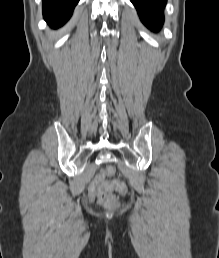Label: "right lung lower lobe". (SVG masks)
<instances>
[{"instance_id": "98d812e1", "label": "right lung lower lobe", "mask_w": 219, "mask_h": 258, "mask_svg": "<svg viewBox=\"0 0 219 258\" xmlns=\"http://www.w3.org/2000/svg\"><path fill=\"white\" fill-rule=\"evenodd\" d=\"M79 0H43V16L52 27L62 26L71 16Z\"/></svg>"}]
</instances>
